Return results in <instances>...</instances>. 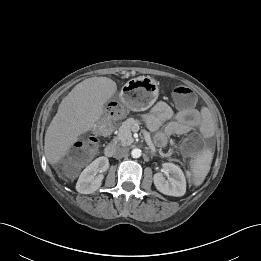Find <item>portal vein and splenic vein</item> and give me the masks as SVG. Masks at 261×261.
<instances>
[{"mask_svg": "<svg viewBox=\"0 0 261 261\" xmlns=\"http://www.w3.org/2000/svg\"><path fill=\"white\" fill-rule=\"evenodd\" d=\"M145 135L149 137V133L148 132H146Z\"/></svg>", "mask_w": 261, "mask_h": 261, "instance_id": "1", "label": "portal vein and splenic vein"}]
</instances>
